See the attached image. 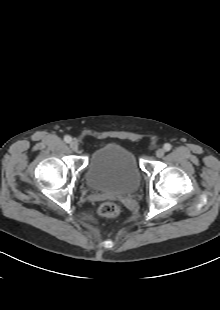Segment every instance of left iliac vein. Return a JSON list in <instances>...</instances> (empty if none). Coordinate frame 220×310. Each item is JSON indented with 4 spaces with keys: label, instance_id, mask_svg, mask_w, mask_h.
<instances>
[{
    "label": "left iliac vein",
    "instance_id": "left-iliac-vein-1",
    "mask_svg": "<svg viewBox=\"0 0 220 310\" xmlns=\"http://www.w3.org/2000/svg\"><path fill=\"white\" fill-rule=\"evenodd\" d=\"M164 154H165V150H164V149H158V150L156 151V156H157L158 158H162V157L164 156Z\"/></svg>",
    "mask_w": 220,
    "mask_h": 310
}]
</instances>
